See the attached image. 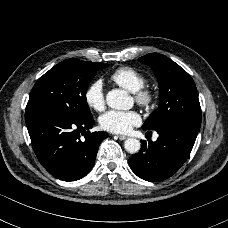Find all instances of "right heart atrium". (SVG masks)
Masks as SVG:
<instances>
[{
  "instance_id": "d8ad5b80",
  "label": "right heart atrium",
  "mask_w": 228,
  "mask_h": 228,
  "mask_svg": "<svg viewBox=\"0 0 228 228\" xmlns=\"http://www.w3.org/2000/svg\"><path fill=\"white\" fill-rule=\"evenodd\" d=\"M86 104L95 111H102L106 106L105 86L102 79L92 80L84 91Z\"/></svg>"
}]
</instances>
